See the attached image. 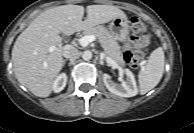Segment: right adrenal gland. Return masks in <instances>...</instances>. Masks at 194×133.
I'll use <instances>...</instances> for the list:
<instances>
[{
  "instance_id": "2a0ac1e0",
  "label": "right adrenal gland",
  "mask_w": 194,
  "mask_h": 133,
  "mask_svg": "<svg viewBox=\"0 0 194 133\" xmlns=\"http://www.w3.org/2000/svg\"><path fill=\"white\" fill-rule=\"evenodd\" d=\"M66 60L63 61V66L65 65Z\"/></svg>"
}]
</instances>
